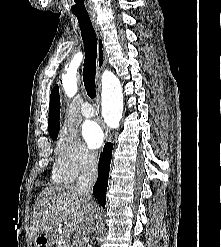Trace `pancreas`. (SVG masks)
I'll use <instances>...</instances> for the list:
<instances>
[{
  "instance_id": "cf45deb5",
  "label": "pancreas",
  "mask_w": 221,
  "mask_h": 247,
  "mask_svg": "<svg viewBox=\"0 0 221 247\" xmlns=\"http://www.w3.org/2000/svg\"><path fill=\"white\" fill-rule=\"evenodd\" d=\"M56 247H72L70 240L65 237H61L60 240L56 243Z\"/></svg>"
}]
</instances>
